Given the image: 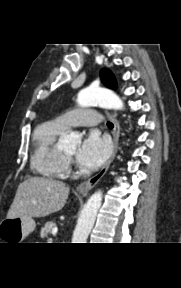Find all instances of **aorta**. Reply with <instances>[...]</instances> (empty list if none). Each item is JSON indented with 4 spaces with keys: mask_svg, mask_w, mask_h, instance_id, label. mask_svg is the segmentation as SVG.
<instances>
[{
    "mask_svg": "<svg viewBox=\"0 0 181 288\" xmlns=\"http://www.w3.org/2000/svg\"><path fill=\"white\" fill-rule=\"evenodd\" d=\"M77 103L81 107L99 105L109 109H123L122 100L114 93L103 88H86L79 92ZM79 141L77 134L70 133L63 140L64 147H74ZM102 191H96L86 202L75 227L72 243H86L94 226L102 203Z\"/></svg>",
    "mask_w": 181,
    "mask_h": 288,
    "instance_id": "762f6f07",
    "label": "aorta"
}]
</instances>
